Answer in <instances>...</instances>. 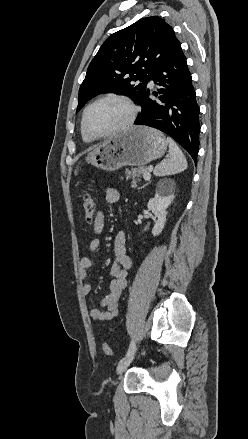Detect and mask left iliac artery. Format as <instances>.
<instances>
[{"label": "left iliac artery", "mask_w": 248, "mask_h": 439, "mask_svg": "<svg viewBox=\"0 0 248 439\" xmlns=\"http://www.w3.org/2000/svg\"><path fill=\"white\" fill-rule=\"evenodd\" d=\"M135 349H136V345H135L134 341H132V342L130 343L129 348H128L127 355L133 353V352L135 351Z\"/></svg>", "instance_id": "44dca946"}]
</instances>
